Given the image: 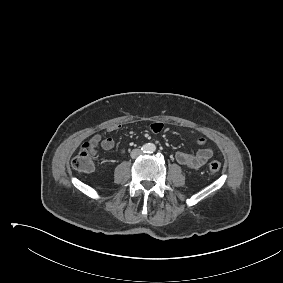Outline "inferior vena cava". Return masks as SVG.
<instances>
[{
	"instance_id": "inferior-vena-cava-1",
	"label": "inferior vena cava",
	"mask_w": 283,
	"mask_h": 283,
	"mask_svg": "<svg viewBox=\"0 0 283 283\" xmlns=\"http://www.w3.org/2000/svg\"><path fill=\"white\" fill-rule=\"evenodd\" d=\"M130 155L134 159V158H137L138 156L142 155V151L140 149H134V150H132Z\"/></svg>"
}]
</instances>
